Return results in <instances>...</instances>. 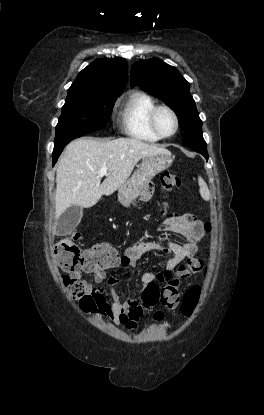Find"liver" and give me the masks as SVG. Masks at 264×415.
Masks as SVG:
<instances>
[{
	"label": "liver",
	"instance_id": "1",
	"mask_svg": "<svg viewBox=\"0 0 264 415\" xmlns=\"http://www.w3.org/2000/svg\"><path fill=\"white\" fill-rule=\"evenodd\" d=\"M167 153L165 148L133 138L72 141L65 148L56 170L55 218L72 205L94 206L103 195H111L127 181L140 159ZM104 167L108 175L101 183L98 171Z\"/></svg>",
	"mask_w": 264,
	"mask_h": 415
}]
</instances>
